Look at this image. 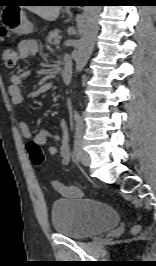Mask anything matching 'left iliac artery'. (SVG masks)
I'll return each mask as SVG.
<instances>
[{"label": "left iliac artery", "instance_id": "left-iliac-artery-1", "mask_svg": "<svg viewBox=\"0 0 156 266\" xmlns=\"http://www.w3.org/2000/svg\"><path fill=\"white\" fill-rule=\"evenodd\" d=\"M74 119H75L74 154L75 156H78L81 150V144H82L83 121L79 114H75Z\"/></svg>", "mask_w": 156, "mask_h": 266}]
</instances>
